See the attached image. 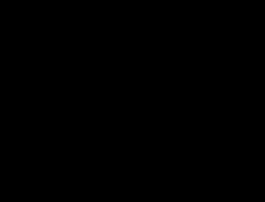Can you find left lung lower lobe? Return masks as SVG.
Here are the masks:
<instances>
[{"label":"left lung lower lobe","mask_w":265,"mask_h":202,"mask_svg":"<svg viewBox=\"0 0 265 202\" xmlns=\"http://www.w3.org/2000/svg\"><path fill=\"white\" fill-rule=\"evenodd\" d=\"M208 68L213 83L221 93L206 128L174 124L152 113V139L156 149L178 162L191 163L201 159L215 147L222 133L227 107L224 80L217 67L208 64Z\"/></svg>","instance_id":"obj_1"}]
</instances>
